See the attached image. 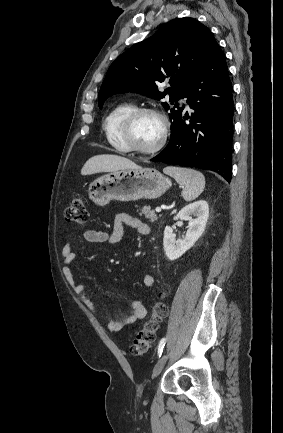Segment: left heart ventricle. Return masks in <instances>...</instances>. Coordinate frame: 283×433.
<instances>
[{"instance_id": "b2bd125f", "label": "left heart ventricle", "mask_w": 283, "mask_h": 433, "mask_svg": "<svg viewBox=\"0 0 283 433\" xmlns=\"http://www.w3.org/2000/svg\"><path fill=\"white\" fill-rule=\"evenodd\" d=\"M163 130L162 121L153 114H145L138 118L133 129V139L138 146L151 150L157 146Z\"/></svg>"}]
</instances>
